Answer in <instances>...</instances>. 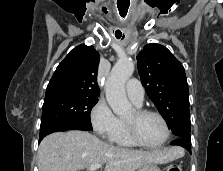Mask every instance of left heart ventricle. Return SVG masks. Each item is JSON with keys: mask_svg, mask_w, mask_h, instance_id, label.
Wrapping results in <instances>:
<instances>
[{"mask_svg": "<svg viewBox=\"0 0 223 171\" xmlns=\"http://www.w3.org/2000/svg\"><path fill=\"white\" fill-rule=\"evenodd\" d=\"M124 121L132 124L140 140L148 145L159 144L165 136V128L161 120L154 115L137 117L132 110Z\"/></svg>", "mask_w": 223, "mask_h": 171, "instance_id": "b2bd125f", "label": "left heart ventricle"}]
</instances>
